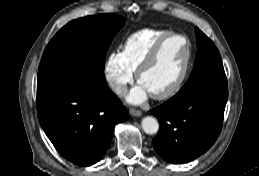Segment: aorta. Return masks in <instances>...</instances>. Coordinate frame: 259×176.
<instances>
[{"label": "aorta", "mask_w": 259, "mask_h": 176, "mask_svg": "<svg viewBox=\"0 0 259 176\" xmlns=\"http://www.w3.org/2000/svg\"><path fill=\"white\" fill-rule=\"evenodd\" d=\"M141 126H142L143 131L146 134H150V135L157 133L159 130L158 121L155 118L150 117V116L144 117L142 119Z\"/></svg>", "instance_id": "762f6f07"}]
</instances>
